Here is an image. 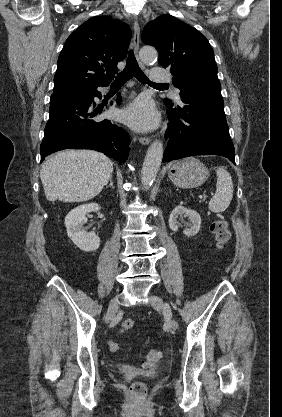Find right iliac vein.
Returning <instances> with one entry per match:
<instances>
[{"mask_svg":"<svg viewBox=\"0 0 282 417\" xmlns=\"http://www.w3.org/2000/svg\"><path fill=\"white\" fill-rule=\"evenodd\" d=\"M118 298L114 297L113 299H111L109 306H108V310L105 316V322L108 323L113 316L115 315L117 309H118Z\"/></svg>","mask_w":282,"mask_h":417,"instance_id":"1","label":"right iliac vein"}]
</instances>
